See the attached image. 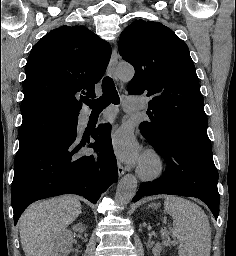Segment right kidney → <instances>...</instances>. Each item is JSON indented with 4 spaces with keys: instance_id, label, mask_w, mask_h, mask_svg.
<instances>
[{
    "instance_id": "obj_1",
    "label": "right kidney",
    "mask_w": 236,
    "mask_h": 256,
    "mask_svg": "<svg viewBox=\"0 0 236 256\" xmlns=\"http://www.w3.org/2000/svg\"><path fill=\"white\" fill-rule=\"evenodd\" d=\"M73 230L75 232H85L86 228L83 226V224H76V226H73ZM73 242V236L71 230H65L63 232L59 242L55 244V256H65L66 252H68L66 246H72Z\"/></svg>"
}]
</instances>
